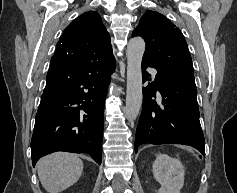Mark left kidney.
Segmentation results:
<instances>
[{
    "instance_id": "5707ae66",
    "label": "left kidney",
    "mask_w": 237,
    "mask_h": 193,
    "mask_svg": "<svg viewBox=\"0 0 237 193\" xmlns=\"http://www.w3.org/2000/svg\"><path fill=\"white\" fill-rule=\"evenodd\" d=\"M153 174L161 184L158 193H180L184 184V167L179 159L160 154L153 163Z\"/></svg>"
}]
</instances>
